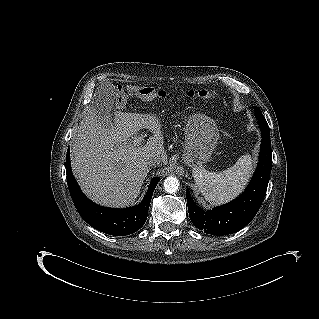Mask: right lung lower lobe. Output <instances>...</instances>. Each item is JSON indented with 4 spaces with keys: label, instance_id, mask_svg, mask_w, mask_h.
<instances>
[{
    "label": "right lung lower lobe",
    "instance_id": "obj_1",
    "mask_svg": "<svg viewBox=\"0 0 319 319\" xmlns=\"http://www.w3.org/2000/svg\"><path fill=\"white\" fill-rule=\"evenodd\" d=\"M69 160L68 149L66 156L67 183L74 205L84 221L103 233L115 236L132 234L144 225L153 191L159 181L158 177L151 180L148 192L139 205L127 209L106 208L93 203L82 193L72 175Z\"/></svg>",
    "mask_w": 319,
    "mask_h": 319
}]
</instances>
